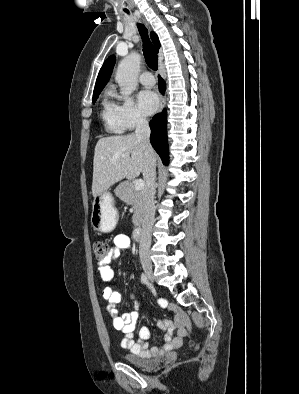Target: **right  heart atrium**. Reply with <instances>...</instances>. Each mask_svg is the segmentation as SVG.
Wrapping results in <instances>:
<instances>
[{"mask_svg": "<svg viewBox=\"0 0 299 394\" xmlns=\"http://www.w3.org/2000/svg\"><path fill=\"white\" fill-rule=\"evenodd\" d=\"M118 103L115 104L123 130H132L146 122L145 116L138 110L131 97L113 93Z\"/></svg>", "mask_w": 299, "mask_h": 394, "instance_id": "right-heart-atrium-1", "label": "right heart atrium"}]
</instances>
